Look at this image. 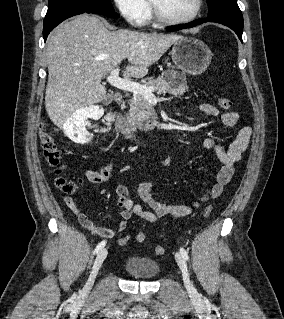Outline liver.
<instances>
[{
  "label": "liver",
  "instance_id": "obj_1",
  "mask_svg": "<svg viewBox=\"0 0 284 319\" xmlns=\"http://www.w3.org/2000/svg\"><path fill=\"white\" fill-rule=\"evenodd\" d=\"M182 36L109 31L94 15H79L61 23L48 39V83L45 106L51 121L63 127L84 107L101 102L106 88L101 80L127 58L124 77L142 78Z\"/></svg>",
  "mask_w": 284,
  "mask_h": 319
}]
</instances>
